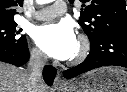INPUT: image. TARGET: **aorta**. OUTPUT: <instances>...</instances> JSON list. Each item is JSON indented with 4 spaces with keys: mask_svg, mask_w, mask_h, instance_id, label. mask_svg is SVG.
<instances>
[{
    "mask_svg": "<svg viewBox=\"0 0 127 92\" xmlns=\"http://www.w3.org/2000/svg\"><path fill=\"white\" fill-rule=\"evenodd\" d=\"M51 0H37L38 4H46L49 3Z\"/></svg>",
    "mask_w": 127,
    "mask_h": 92,
    "instance_id": "762f6f07",
    "label": "aorta"
}]
</instances>
